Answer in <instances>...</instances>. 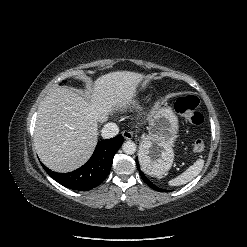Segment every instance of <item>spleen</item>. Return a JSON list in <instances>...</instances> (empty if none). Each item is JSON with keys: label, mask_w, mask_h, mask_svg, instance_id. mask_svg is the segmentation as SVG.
Returning a JSON list of instances; mask_svg holds the SVG:
<instances>
[{"label": "spleen", "mask_w": 247, "mask_h": 247, "mask_svg": "<svg viewBox=\"0 0 247 247\" xmlns=\"http://www.w3.org/2000/svg\"><path fill=\"white\" fill-rule=\"evenodd\" d=\"M204 166V160L199 159L194 162L185 172L177 176L176 178L169 181L171 186H179L188 183L194 177H196Z\"/></svg>", "instance_id": "spleen-1"}]
</instances>
